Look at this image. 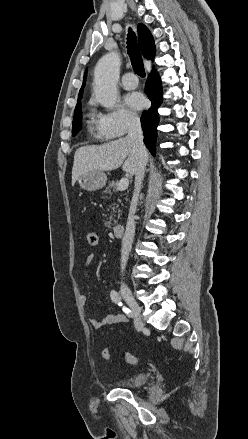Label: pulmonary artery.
<instances>
[{
  "label": "pulmonary artery",
  "instance_id": "1",
  "mask_svg": "<svg viewBox=\"0 0 248 439\" xmlns=\"http://www.w3.org/2000/svg\"><path fill=\"white\" fill-rule=\"evenodd\" d=\"M138 79L136 75L132 72H128L123 75L121 79V85L124 89L132 90L135 89L138 86Z\"/></svg>",
  "mask_w": 248,
  "mask_h": 439
}]
</instances>
